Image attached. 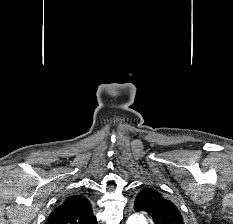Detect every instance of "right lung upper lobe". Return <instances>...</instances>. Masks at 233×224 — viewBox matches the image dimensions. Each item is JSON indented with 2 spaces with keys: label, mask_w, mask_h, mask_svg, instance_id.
Wrapping results in <instances>:
<instances>
[{
  "label": "right lung upper lobe",
  "mask_w": 233,
  "mask_h": 224,
  "mask_svg": "<svg viewBox=\"0 0 233 224\" xmlns=\"http://www.w3.org/2000/svg\"><path fill=\"white\" fill-rule=\"evenodd\" d=\"M45 224H97V221L88 199L74 195L56 207Z\"/></svg>",
  "instance_id": "right-lung-upper-lobe-1"
}]
</instances>
